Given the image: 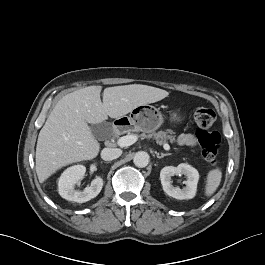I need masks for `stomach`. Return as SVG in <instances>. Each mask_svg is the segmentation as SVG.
Instances as JSON below:
<instances>
[{"label":"stomach","mask_w":265,"mask_h":265,"mask_svg":"<svg viewBox=\"0 0 265 265\" xmlns=\"http://www.w3.org/2000/svg\"><path fill=\"white\" fill-rule=\"evenodd\" d=\"M121 118H126L123 120L125 128L145 133L157 130L164 122L161 112L154 106L147 104L135 107L129 116L119 119ZM171 120L179 121L180 116L174 113L171 115Z\"/></svg>","instance_id":"1"}]
</instances>
